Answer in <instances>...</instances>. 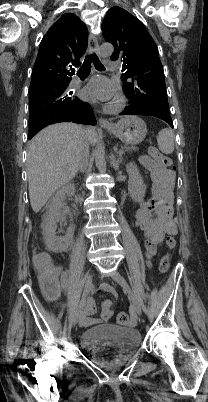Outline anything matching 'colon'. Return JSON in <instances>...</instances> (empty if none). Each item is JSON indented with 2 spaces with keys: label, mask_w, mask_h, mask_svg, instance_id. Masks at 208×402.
I'll return each instance as SVG.
<instances>
[{
  "label": "colon",
  "mask_w": 208,
  "mask_h": 402,
  "mask_svg": "<svg viewBox=\"0 0 208 402\" xmlns=\"http://www.w3.org/2000/svg\"><path fill=\"white\" fill-rule=\"evenodd\" d=\"M149 154L158 162L171 166L172 161L162 155L155 147H149ZM166 246L168 252L162 257L159 264V272L165 274L169 270L171 251L176 246V240L173 236L167 238ZM36 269L39 270V276L42 278V283L38 288L39 295H48L49 300H54L55 296L60 294V289L57 286L62 285V278L58 277L57 267L50 262V257L46 256L44 250H36L34 253ZM116 322L120 325L128 324V315L125 312L116 314Z\"/></svg>",
  "instance_id": "1"
}]
</instances>
